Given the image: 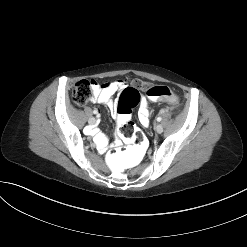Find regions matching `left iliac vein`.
<instances>
[{"label":"left iliac vein","mask_w":247,"mask_h":247,"mask_svg":"<svg viewBox=\"0 0 247 247\" xmlns=\"http://www.w3.org/2000/svg\"><path fill=\"white\" fill-rule=\"evenodd\" d=\"M155 131L157 132V133H162L163 132V127H162V125H160V124H157V125H155Z\"/></svg>","instance_id":"4c4485c4"}]
</instances>
